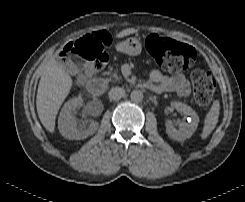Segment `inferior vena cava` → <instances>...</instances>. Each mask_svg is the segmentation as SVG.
I'll return each mask as SVG.
<instances>
[{
  "label": "inferior vena cava",
  "instance_id": "1",
  "mask_svg": "<svg viewBox=\"0 0 245 202\" xmlns=\"http://www.w3.org/2000/svg\"><path fill=\"white\" fill-rule=\"evenodd\" d=\"M109 98L112 100H120L125 96V90L120 87H114L109 91Z\"/></svg>",
  "mask_w": 245,
  "mask_h": 202
}]
</instances>
